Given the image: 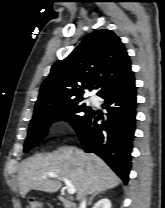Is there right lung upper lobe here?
Masks as SVG:
<instances>
[{"label": "right lung upper lobe", "instance_id": "right-lung-upper-lobe-1", "mask_svg": "<svg viewBox=\"0 0 165 208\" xmlns=\"http://www.w3.org/2000/svg\"><path fill=\"white\" fill-rule=\"evenodd\" d=\"M131 72V62L120 38L111 30L94 31L67 58L52 66L41 85L34 112L57 103L83 100V89L93 85L100 95Z\"/></svg>", "mask_w": 165, "mask_h": 208}]
</instances>
